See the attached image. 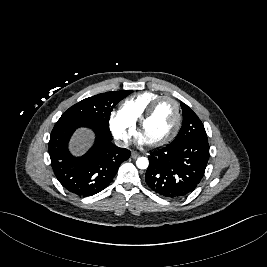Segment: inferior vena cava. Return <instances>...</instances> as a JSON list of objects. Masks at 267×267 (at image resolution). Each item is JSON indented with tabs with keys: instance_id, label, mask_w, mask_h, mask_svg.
<instances>
[{
	"instance_id": "602c4592",
	"label": "inferior vena cava",
	"mask_w": 267,
	"mask_h": 267,
	"mask_svg": "<svg viewBox=\"0 0 267 267\" xmlns=\"http://www.w3.org/2000/svg\"><path fill=\"white\" fill-rule=\"evenodd\" d=\"M115 145L121 148H127L128 147V142L127 141H122V140H117L115 141Z\"/></svg>"
}]
</instances>
